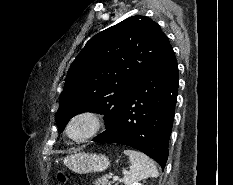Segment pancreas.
I'll list each match as a JSON object with an SVG mask.
<instances>
[{"mask_svg":"<svg viewBox=\"0 0 233 185\" xmlns=\"http://www.w3.org/2000/svg\"><path fill=\"white\" fill-rule=\"evenodd\" d=\"M112 181H109V176H102L100 178H97L94 181V185H111Z\"/></svg>","mask_w":233,"mask_h":185,"instance_id":"obj_1","label":"pancreas"}]
</instances>
